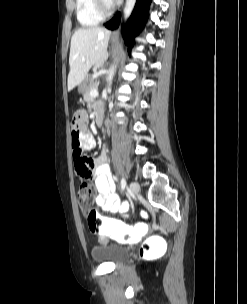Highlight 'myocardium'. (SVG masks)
Returning a JSON list of instances; mask_svg holds the SVG:
<instances>
[{"instance_id": "myocardium-1", "label": "myocardium", "mask_w": 247, "mask_h": 304, "mask_svg": "<svg viewBox=\"0 0 247 304\" xmlns=\"http://www.w3.org/2000/svg\"><path fill=\"white\" fill-rule=\"evenodd\" d=\"M93 5L96 14L102 19L110 17L116 9V4L107 6L104 0H93Z\"/></svg>"}]
</instances>
